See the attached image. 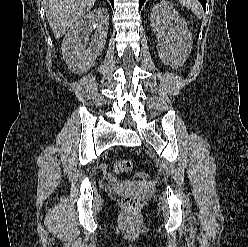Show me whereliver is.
I'll use <instances>...</instances> for the list:
<instances>
[{"instance_id": "liver-1", "label": "liver", "mask_w": 248, "mask_h": 247, "mask_svg": "<svg viewBox=\"0 0 248 247\" xmlns=\"http://www.w3.org/2000/svg\"><path fill=\"white\" fill-rule=\"evenodd\" d=\"M96 0H45L47 20L56 38L63 36L71 25L94 5Z\"/></svg>"}]
</instances>
